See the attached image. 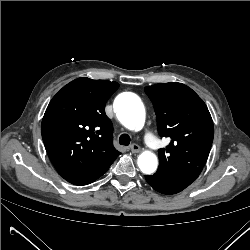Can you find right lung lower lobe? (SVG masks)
Listing matches in <instances>:
<instances>
[{
	"mask_svg": "<svg viewBox=\"0 0 250 250\" xmlns=\"http://www.w3.org/2000/svg\"><path fill=\"white\" fill-rule=\"evenodd\" d=\"M117 157H111L100 165L80 173L64 174L62 177L74 185H87L102 176Z\"/></svg>",
	"mask_w": 250,
	"mask_h": 250,
	"instance_id": "98d812e1",
	"label": "right lung lower lobe"
}]
</instances>
